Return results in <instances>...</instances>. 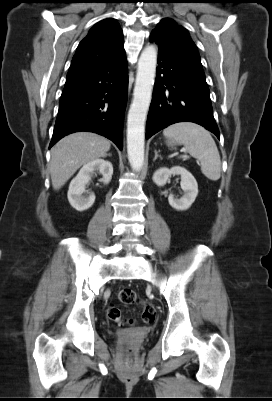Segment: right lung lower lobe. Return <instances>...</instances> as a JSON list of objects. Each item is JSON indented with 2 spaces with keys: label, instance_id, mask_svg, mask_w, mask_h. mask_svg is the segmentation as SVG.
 I'll use <instances>...</instances> for the list:
<instances>
[{
  "label": "right lung lower lobe",
  "instance_id": "right-lung-lower-lobe-1",
  "mask_svg": "<svg viewBox=\"0 0 272 401\" xmlns=\"http://www.w3.org/2000/svg\"><path fill=\"white\" fill-rule=\"evenodd\" d=\"M127 88L124 51L96 69L66 80L49 148L68 134L90 131L112 140L121 150Z\"/></svg>",
  "mask_w": 272,
  "mask_h": 401
}]
</instances>
